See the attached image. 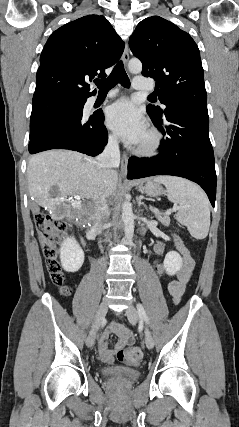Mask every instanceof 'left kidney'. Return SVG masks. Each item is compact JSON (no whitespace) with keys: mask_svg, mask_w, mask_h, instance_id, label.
<instances>
[{"mask_svg":"<svg viewBox=\"0 0 239 427\" xmlns=\"http://www.w3.org/2000/svg\"><path fill=\"white\" fill-rule=\"evenodd\" d=\"M183 264L181 256L176 251L167 253L164 259V268L168 275H174L178 272Z\"/></svg>","mask_w":239,"mask_h":427,"instance_id":"obj_1","label":"left kidney"}]
</instances>
